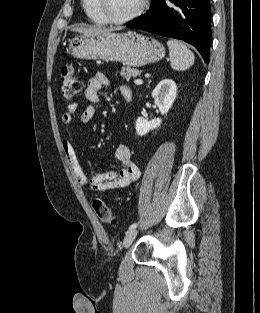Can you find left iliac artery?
I'll return each instance as SVG.
<instances>
[{
	"label": "left iliac artery",
	"mask_w": 260,
	"mask_h": 313,
	"mask_svg": "<svg viewBox=\"0 0 260 313\" xmlns=\"http://www.w3.org/2000/svg\"><path fill=\"white\" fill-rule=\"evenodd\" d=\"M138 223H133L132 225H130L129 230L131 229H135L137 227Z\"/></svg>",
	"instance_id": "left-iliac-artery-1"
}]
</instances>
